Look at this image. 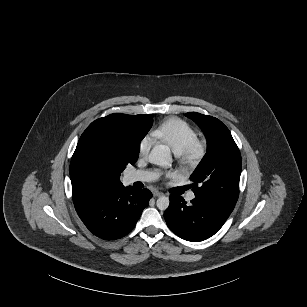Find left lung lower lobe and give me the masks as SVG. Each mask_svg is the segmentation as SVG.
<instances>
[{"label": "left lung lower lobe", "mask_w": 307, "mask_h": 307, "mask_svg": "<svg viewBox=\"0 0 307 307\" xmlns=\"http://www.w3.org/2000/svg\"><path fill=\"white\" fill-rule=\"evenodd\" d=\"M230 213L196 198L186 204L183 197L170 196V205L164 218L170 230L179 237L193 242L214 235L225 223Z\"/></svg>", "instance_id": "left-lung-lower-lobe-1"}]
</instances>
